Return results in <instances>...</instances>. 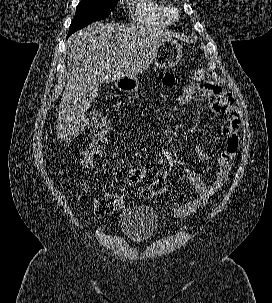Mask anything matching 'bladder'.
<instances>
[{
    "label": "bladder",
    "mask_w": 272,
    "mask_h": 303,
    "mask_svg": "<svg viewBox=\"0 0 272 303\" xmlns=\"http://www.w3.org/2000/svg\"><path fill=\"white\" fill-rule=\"evenodd\" d=\"M122 233L133 242H141L153 236L159 227L157 213L145 205L126 208L119 221Z\"/></svg>",
    "instance_id": "obj_1"
}]
</instances>
